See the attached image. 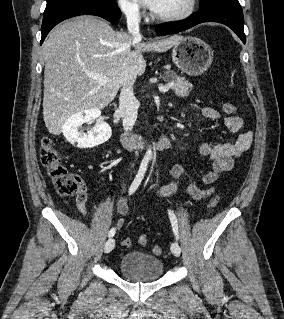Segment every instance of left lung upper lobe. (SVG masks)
I'll use <instances>...</instances> for the list:
<instances>
[{
	"instance_id": "left-lung-upper-lobe-1",
	"label": "left lung upper lobe",
	"mask_w": 284,
	"mask_h": 319,
	"mask_svg": "<svg viewBox=\"0 0 284 319\" xmlns=\"http://www.w3.org/2000/svg\"><path fill=\"white\" fill-rule=\"evenodd\" d=\"M219 3H239L238 0H201L200 9H206Z\"/></svg>"
}]
</instances>
